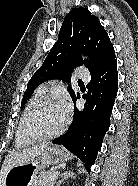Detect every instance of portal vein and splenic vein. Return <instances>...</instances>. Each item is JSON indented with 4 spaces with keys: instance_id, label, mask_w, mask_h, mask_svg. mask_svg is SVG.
I'll use <instances>...</instances> for the list:
<instances>
[{
    "instance_id": "obj_1",
    "label": "portal vein and splenic vein",
    "mask_w": 138,
    "mask_h": 186,
    "mask_svg": "<svg viewBox=\"0 0 138 186\" xmlns=\"http://www.w3.org/2000/svg\"><path fill=\"white\" fill-rule=\"evenodd\" d=\"M59 174H60V173H59L58 171L53 172V173L50 175L49 179H50V180H54V179H56V178L58 177Z\"/></svg>"
}]
</instances>
